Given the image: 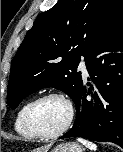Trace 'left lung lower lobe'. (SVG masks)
Instances as JSON below:
<instances>
[{
  "instance_id": "0a47b994",
  "label": "left lung lower lobe",
  "mask_w": 123,
  "mask_h": 152,
  "mask_svg": "<svg viewBox=\"0 0 123 152\" xmlns=\"http://www.w3.org/2000/svg\"><path fill=\"white\" fill-rule=\"evenodd\" d=\"M95 89L83 84L74 99L76 120L60 139L82 137L123 148V2L115 8L86 59ZM87 94L91 99L87 100Z\"/></svg>"
}]
</instances>
